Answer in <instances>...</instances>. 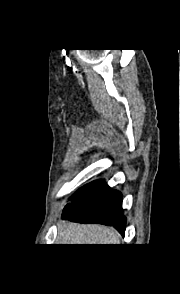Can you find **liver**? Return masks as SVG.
Returning <instances> with one entry per match:
<instances>
[{
	"instance_id": "obj_1",
	"label": "liver",
	"mask_w": 180,
	"mask_h": 294,
	"mask_svg": "<svg viewBox=\"0 0 180 294\" xmlns=\"http://www.w3.org/2000/svg\"><path fill=\"white\" fill-rule=\"evenodd\" d=\"M57 244H119L120 236L113 229L101 225H82L61 221Z\"/></svg>"
}]
</instances>
